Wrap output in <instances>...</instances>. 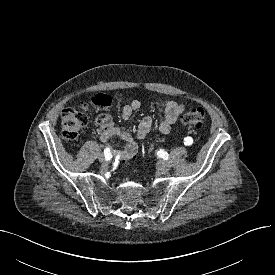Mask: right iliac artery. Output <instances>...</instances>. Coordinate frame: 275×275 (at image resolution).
<instances>
[{"label":"right iliac artery","instance_id":"obj_1","mask_svg":"<svg viewBox=\"0 0 275 275\" xmlns=\"http://www.w3.org/2000/svg\"><path fill=\"white\" fill-rule=\"evenodd\" d=\"M104 156H105V159L108 161L112 158V154H111V151H110V148H105L104 150Z\"/></svg>","mask_w":275,"mask_h":275}]
</instances>
